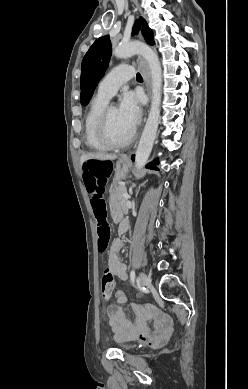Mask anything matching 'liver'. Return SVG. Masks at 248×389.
Instances as JSON below:
<instances>
[{
	"instance_id": "obj_1",
	"label": "liver",
	"mask_w": 248,
	"mask_h": 389,
	"mask_svg": "<svg viewBox=\"0 0 248 389\" xmlns=\"http://www.w3.org/2000/svg\"><path fill=\"white\" fill-rule=\"evenodd\" d=\"M117 158V155L115 154H107V153H86L81 156V162H85L87 160H115Z\"/></svg>"
}]
</instances>
